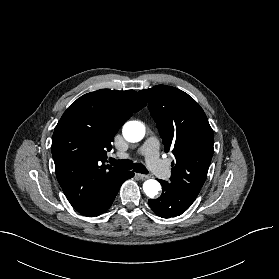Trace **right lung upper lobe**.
<instances>
[{"mask_svg": "<svg viewBox=\"0 0 279 279\" xmlns=\"http://www.w3.org/2000/svg\"><path fill=\"white\" fill-rule=\"evenodd\" d=\"M146 106L134 90L102 89L78 98L62 115L52 138L57 180L78 211L95 205L106 185L123 173L105 165L122 125Z\"/></svg>", "mask_w": 279, "mask_h": 279, "instance_id": "1", "label": "right lung upper lobe"}]
</instances>
